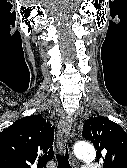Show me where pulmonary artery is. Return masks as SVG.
Wrapping results in <instances>:
<instances>
[{"label": "pulmonary artery", "mask_w": 127, "mask_h": 168, "mask_svg": "<svg viewBox=\"0 0 127 168\" xmlns=\"http://www.w3.org/2000/svg\"><path fill=\"white\" fill-rule=\"evenodd\" d=\"M83 168H100V166L95 163H87V164L83 165Z\"/></svg>", "instance_id": "1"}]
</instances>
